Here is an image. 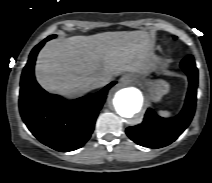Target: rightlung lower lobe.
I'll use <instances>...</instances> for the list:
<instances>
[{"mask_svg":"<svg viewBox=\"0 0 212 183\" xmlns=\"http://www.w3.org/2000/svg\"><path fill=\"white\" fill-rule=\"evenodd\" d=\"M51 37L30 53L21 76L19 108L23 121L40 142L57 151L68 152L80 148L90 138L108 90L116 82L72 101L57 95L49 97L35 80L34 65L39 50Z\"/></svg>","mask_w":212,"mask_h":183,"instance_id":"right-lung-lower-lobe-1","label":"right lung lower lobe"}]
</instances>
